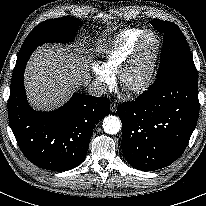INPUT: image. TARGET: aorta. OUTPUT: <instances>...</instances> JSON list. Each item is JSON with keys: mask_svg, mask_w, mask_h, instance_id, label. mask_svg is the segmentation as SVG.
<instances>
[{"mask_svg": "<svg viewBox=\"0 0 206 206\" xmlns=\"http://www.w3.org/2000/svg\"><path fill=\"white\" fill-rule=\"evenodd\" d=\"M103 129L107 134H116L121 129V122L118 117L114 115H109L103 120Z\"/></svg>", "mask_w": 206, "mask_h": 206, "instance_id": "1", "label": "aorta"}]
</instances>
